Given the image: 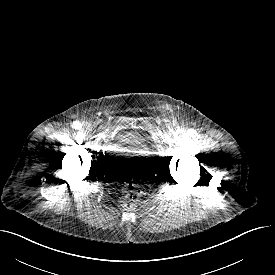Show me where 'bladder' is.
Masks as SVG:
<instances>
[{
  "mask_svg": "<svg viewBox=\"0 0 275 275\" xmlns=\"http://www.w3.org/2000/svg\"><path fill=\"white\" fill-rule=\"evenodd\" d=\"M109 167L120 178L144 177L158 163V146L152 136L125 130L115 136L108 151Z\"/></svg>",
  "mask_w": 275,
  "mask_h": 275,
  "instance_id": "bladder-1",
  "label": "bladder"
}]
</instances>
